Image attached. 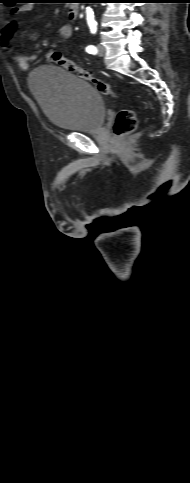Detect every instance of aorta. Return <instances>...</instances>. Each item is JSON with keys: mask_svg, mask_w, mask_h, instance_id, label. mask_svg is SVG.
Wrapping results in <instances>:
<instances>
[{"mask_svg": "<svg viewBox=\"0 0 190 483\" xmlns=\"http://www.w3.org/2000/svg\"><path fill=\"white\" fill-rule=\"evenodd\" d=\"M86 14H87V19L88 20L93 19L94 14H93V11H92V9L90 7H87L86 8Z\"/></svg>", "mask_w": 190, "mask_h": 483, "instance_id": "1", "label": "aorta"}]
</instances>
